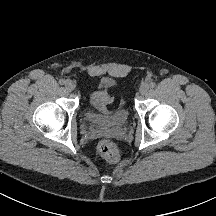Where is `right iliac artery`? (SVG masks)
I'll return each instance as SVG.
<instances>
[{"instance_id": "1", "label": "right iliac artery", "mask_w": 216, "mask_h": 216, "mask_svg": "<svg viewBox=\"0 0 216 216\" xmlns=\"http://www.w3.org/2000/svg\"><path fill=\"white\" fill-rule=\"evenodd\" d=\"M59 84H60V85H64V84H65V80H64V79H60V80H59Z\"/></svg>"}]
</instances>
